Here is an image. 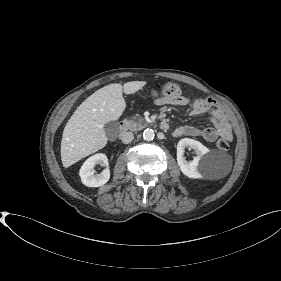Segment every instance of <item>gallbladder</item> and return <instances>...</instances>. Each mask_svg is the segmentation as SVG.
<instances>
[{"label":"gallbladder","mask_w":281,"mask_h":281,"mask_svg":"<svg viewBox=\"0 0 281 281\" xmlns=\"http://www.w3.org/2000/svg\"><path fill=\"white\" fill-rule=\"evenodd\" d=\"M118 122L117 121H110L104 125V130L107 137L116 136L118 133Z\"/></svg>","instance_id":"1"}]
</instances>
